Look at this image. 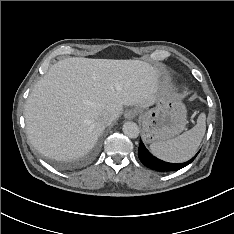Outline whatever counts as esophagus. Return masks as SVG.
<instances>
[{"mask_svg": "<svg viewBox=\"0 0 234 234\" xmlns=\"http://www.w3.org/2000/svg\"><path fill=\"white\" fill-rule=\"evenodd\" d=\"M137 111L135 109H127L124 112V118L127 120H132L136 117Z\"/></svg>", "mask_w": 234, "mask_h": 234, "instance_id": "34e87169", "label": "esophagus"}]
</instances>
